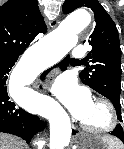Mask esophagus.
Segmentation results:
<instances>
[{"mask_svg": "<svg viewBox=\"0 0 124 149\" xmlns=\"http://www.w3.org/2000/svg\"><path fill=\"white\" fill-rule=\"evenodd\" d=\"M36 88L41 89L40 83H36Z\"/></svg>", "mask_w": 124, "mask_h": 149, "instance_id": "1", "label": "esophagus"}]
</instances>
